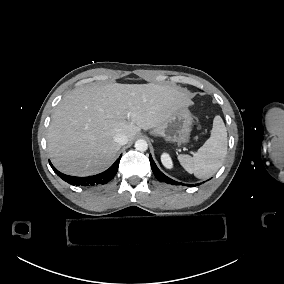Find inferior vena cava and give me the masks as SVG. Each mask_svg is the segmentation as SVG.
I'll return each instance as SVG.
<instances>
[{
  "label": "inferior vena cava",
  "instance_id": "obj_1",
  "mask_svg": "<svg viewBox=\"0 0 284 284\" xmlns=\"http://www.w3.org/2000/svg\"><path fill=\"white\" fill-rule=\"evenodd\" d=\"M114 141L120 145H125L128 141L127 136L123 133H118L114 136Z\"/></svg>",
  "mask_w": 284,
  "mask_h": 284
}]
</instances>
